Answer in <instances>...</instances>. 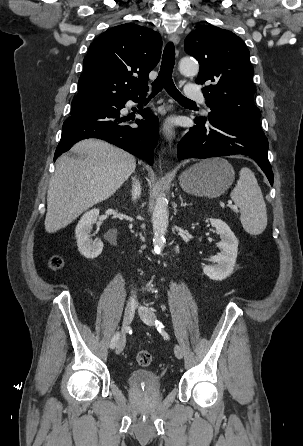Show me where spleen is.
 <instances>
[{
    "mask_svg": "<svg viewBox=\"0 0 303 446\" xmlns=\"http://www.w3.org/2000/svg\"><path fill=\"white\" fill-rule=\"evenodd\" d=\"M231 199L240 208V221L250 235L261 234L267 226L266 204L254 173L243 167L231 192Z\"/></svg>",
    "mask_w": 303,
    "mask_h": 446,
    "instance_id": "3e777b00",
    "label": "spleen"
}]
</instances>
